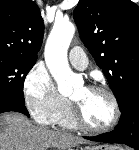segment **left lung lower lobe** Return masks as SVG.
Listing matches in <instances>:
<instances>
[{"instance_id": "obj_1", "label": "left lung lower lobe", "mask_w": 139, "mask_h": 150, "mask_svg": "<svg viewBox=\"0 0 139 150\" xmlns=\"http://www.w3.org/2000/svg\"><path fill=\"white\" fill-rule=\"evenodd\" d=\"M121 118L115 130L85 139L126 144L139 150V89L133 91L120 108Z\"/></svg>"}]
</instances>
